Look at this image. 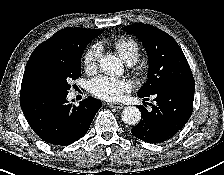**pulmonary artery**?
Masks as SVG:
<instances>
[{"instance_id":"e3ab8cb5","label":"pulmonary artery","mask_w":224,"mask_h":175,"mask_svg":"<svg viewBox=\"0 0 224 175\" xmlns=\"http://www.w3.org/2000/svg\"><path fill=\"white\" fill-rule=\"evenodd\" d=\"M135 62H136V61L132 60V61H128L126 64H127L128 66H132V65L135 64Z\"/></svg>"}]
</instances>
